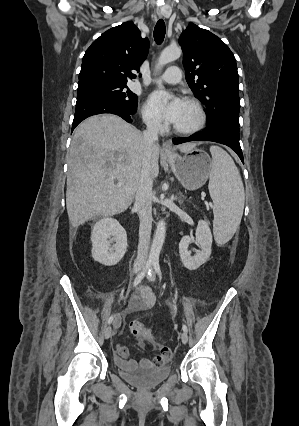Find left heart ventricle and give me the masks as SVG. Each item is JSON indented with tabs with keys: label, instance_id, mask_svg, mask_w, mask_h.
Instances as JSON below:
<instances>
[{
	"label": "left heart ventricle",
	"instance_id": "left-heart-ventricle-1",
	"mask_svg": "<svg viewBox=\"0 0 299 426\" xmlns=\"http://www.w3.org/2000/svg\"><path fill=\"white\" fill-rule=\"evenodd\" d=\"M197 121V111L194 106L186 102L183 103L181 113L175 126L178 128H189Z\"/></svg>",
	"mask_w": 299,
	"mask_h": 426
}]
</instances>
